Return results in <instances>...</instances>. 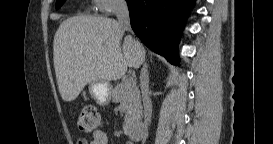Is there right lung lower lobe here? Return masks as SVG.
I'll return each instance as SVG.
<instances>
[{
    "instance_id": "obj_1",
    "label": "right lung lower lobe",
    "mask_w": 273,
    "mask_h": 144,
    "mask_svg": "<svg viewBox=\"0 0 273 144\" xmlns=\"http://www.w3.org/2000/svg\"><path fill=\"white\" fill-rule=\"evenodd\" d=\"M126 1L136 35L154 52L176 64L177 44L195 0Z\"/></svg>"
}]
</instances>
